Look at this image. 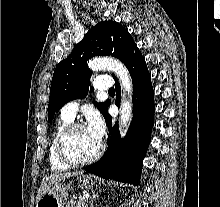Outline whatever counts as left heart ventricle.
I'll return each instance as SVG.
<instances>
[{
    "label": "left heart ventricle",
    "mask_w": 220,
    "mask_h": 207,
    "mask_svg": "<svg viewBox=\"0 0 220 207\" xmlns=\"http://www.w3.org/2000/svg\"><path fill=\"white\" fill-rule=\"evenodd\" d=\"M100 142L86 128L73 131L66 141V152L74 160H85L98 149Z\"/></svg>",
    "instance_id": "left-heart-ventricle-1"
}]
</instances>
